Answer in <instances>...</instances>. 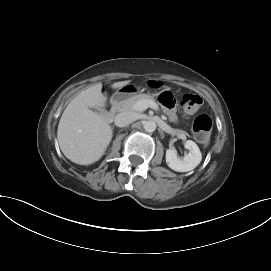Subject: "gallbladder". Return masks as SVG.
I'll use <instances>...</instances> for the list:
<instances>
[{"instance_id": "obj_1", "label": "gallbladder", "mask_w": 271, "mask_h": 271, "mask_svg": "<svg viewBox=\"0 0 271 271\" xmlns=\"http://www.w3.org/2000/svg\"><path fill=\"white\" fill-rule=\"evenodd\" d=\"M95 111L101 116H104L106 114V111L103 109H95Z\"/></svg>"}]
</instances>
